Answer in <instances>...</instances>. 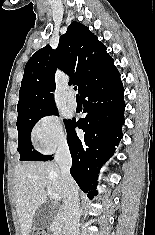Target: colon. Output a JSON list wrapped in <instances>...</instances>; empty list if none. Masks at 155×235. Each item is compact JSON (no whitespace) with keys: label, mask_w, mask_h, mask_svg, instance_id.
Wrapping results in <instances>:
<instances>
[{"label":"colon","mask_w":155,"mask_h":235,"mask_svg":"<svg viewBox=\"0 0 155 235\" xmlns=\"http://www.w3.org/2000/svg\"><path fill=\"white\" fill-rule=\"evenodd\" d=\"M30 235H46V233L42 231H33L32 233H30Z\"/></svg>","instance_id":"1"}]
</instances>
